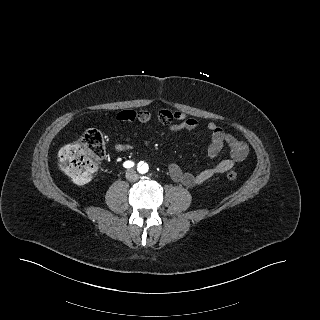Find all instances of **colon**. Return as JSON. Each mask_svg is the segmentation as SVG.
I'll return each instance as SVG.
<instances>
[{
  "label": "colon",
  "mask_w": 320,
  "mask_h": 320,
  "mask_svg": "<svg viewBox=\"0 0 320 320\" xmlns=\"http://www.w3.org/2000/svg\"><path fill=\"white\" fill-rule=\"evenodd\" d=\"M106 153L103 136L99 130L89 129L73 144L63 146L58 153V163L64 173L77 183H87L96 173ZM227 178H237L228 171Z\"/></svg>",
  "instance_id": "obj_1"
}]
</instances>
